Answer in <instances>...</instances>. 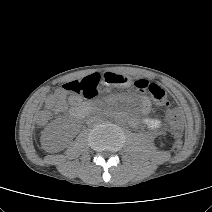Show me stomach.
Listing matches in <instances>:
<instances>
[{"label": "stomach", "mask_w": 212, "mask_h": 212, "mask_svg": "<svg viewBox=\"0 0 212 212\" xmlns=\"http://www.w3.org/2000/svg\"><path fill=\"white\" fill-rule=\"evenodd\" d=\"M104 83L107 86H128L130 84V78L125 75L114 74V73H107L104 76Z\"/></svg>", "instance_id": "1"}]
</instances>
